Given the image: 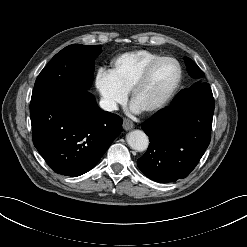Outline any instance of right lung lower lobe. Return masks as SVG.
<instances>
[{"label":"right lung lower lobe","mask_w":247,"mask_h":247,"mask_svg":"<svg viewBox=\"0 0 247 247\" xmlns=\"http://www.w3.org/2000/svg\"><path fill=\"white\" fill-rule=\"evenodd\" d=\"M33 143L56 173L80 176L92 169L122 131V119L101 111L88 91L51 90L31 99Z\"/></svg>","instance_id":"obj_1"}]
</instances>
